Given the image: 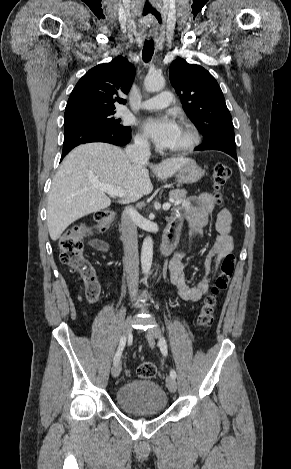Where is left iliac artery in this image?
I'll use <instances>...</instances> for the list:
<instances>
[{
  "label": "left iliac artery",
  "instance_id": "1",
  "mask_svg": "<svg viewBox=\"0 0 291 469\" xmlns=\"http://www.w3.org/2000/svg\"><path fill=\"white\" fill-rule=\"evenodd\" d=\"M158 345H159V347H160V350H161L162 354H163L164 356H166V355H167V344H166V340H165L164 337H162V338L160 339ZM170 376H171L172 378H176L177 374H176L175 370L172 369V370L170 371Z\"/></svg>",
  "mask_w": 291,
  "mask_h": 469
}]
</instances>
